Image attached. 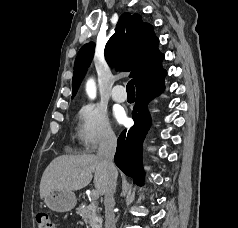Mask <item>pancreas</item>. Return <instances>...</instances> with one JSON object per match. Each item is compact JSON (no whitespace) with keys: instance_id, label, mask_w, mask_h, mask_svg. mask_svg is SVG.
Segmentation results:
<instances>
[{"instance_id":"cf45deb5","label":"pancreas","mask_w":238,"mask_h":228,"mask_svg":"<svg viewBox=\"0 0 238 228\" xmlns=\"http://www.w3.org/2000/svg\"><path fill=\"white\" fill-rule=\"evenodd\" d=\"M77 213L82 217L87 228H101V218L99 216V208L96 201H91L89 205H80Z\"/></svg>"}]
</instances>
